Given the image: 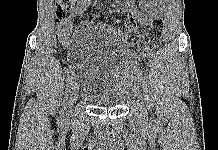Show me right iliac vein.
Instances as JSON below:
<instances>
[{
	"label": "right iliac vein",
	"mask_w": 218,
	"mask_h": 150,
	"mask_svg": "<svg viewBox=\"0 0 218 150\" xmlns=\"http://www.w3.org/2000/svg\"><path fill=\"white\" fill-rule=\"evenodd\" d=\"M69 92H70L69 102H68L67 109L65 110L66 116H69L71 114L72 107H73L76 99L78 98L79 88H78V84H77L76 80H73Z\"/></svg>",
	"instance_id": "63e3f726"
}]
</instances>
